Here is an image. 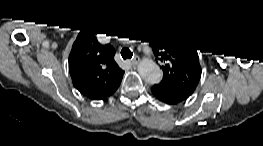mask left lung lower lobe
Here are the masks:
<instances>
[{
    "mask_svg": "<svg viewBox=\"0 0 263 146\" xmlns=\"http://www.w3.org/2000/svg\"><path fill=\"white\" fill-rule=\"evenodd\" d=\"M152 94L160 101L175 105L185 99L178 96L168 85L164 83L156 84L151 88Z\"/></svg>",
    "mask_w": 263,
    "mask_h": 146,
    "instance_id": "0a47b994",
    "label": "left lung lower lobe"
}]
</instances>
